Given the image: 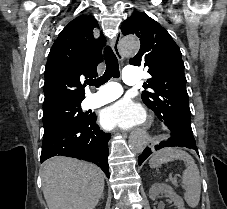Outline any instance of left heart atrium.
Wrapping results in <instances>:
<instances>
[{"instance_id": "1", "label": "left heart atrium", "mask_w": 227, "mask_h": 209, "mask_svg": "<svg viewBox=\"0 0 227 209\" xmlns=\"http://www.w3.org/2000/svg\"><path fill=\"white\" fill-rule=\"evenodd\" d=\"M145 117V110L140 104L130 99H121L110 104L102 111L100 124L106 129L114 127L130 129L142 124Z\"/></svg>"}]
</instances>
